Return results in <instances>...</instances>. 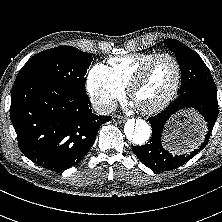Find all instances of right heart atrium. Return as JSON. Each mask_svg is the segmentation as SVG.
<instances>
[{"instance_id": "obj_1", "label": "right heart atrium", "mask_w": 222, "mask_h": 222, "mask_svg": "<svg viewBox=\"0 0 222 222\" xmlns=\"http://www.w3.org/2000/svg\"><path fill=\"white\" fill-rule=\"evenodd\" d=\"M87 91L96 110L108 113L116 100L122 98L125 88L113 78L108 67L96 64L89 71Z\"/></svg>"}]
</instances>
